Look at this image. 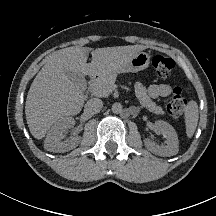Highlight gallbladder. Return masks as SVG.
I'll use <instances>...</instances> for the list:
<instances>
[{"instance_id":"obj_1","label":"gallbladder","mask_w":216,"mask_h":216,"mask_svg":"<svg viewBox=\"0 0 216 216\" xmlns=\"http://www.w3.org/2000/svg\"><path fill=\"white\" fill-rule=\"evenodd\" d=\"M66 75L71 81L77 84H82L83 82V77L78 73H74L72 71H66Z\"/></svg>"}]
</instances>
